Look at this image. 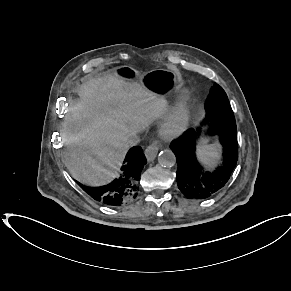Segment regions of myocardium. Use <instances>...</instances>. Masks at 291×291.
Instances as JSON below:
<instances>
[{
  "label": "myocardium",
  "instance_id": "1",
  "mask_svg": "<svg viewBox=\"0 0 291 291\" xmlns=\"http://www.w3.org/2000/svg\"><path fill=\"white\" fill-rule=\"evenodd\" d=\"M191 109L185 102L173 106L159 124L161 135L167 139L177 138L189 127Z\"/></svg>",
  "mask_w": 291,
  "mask_h": 291
}]
</instances>
